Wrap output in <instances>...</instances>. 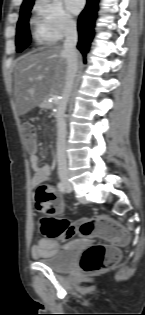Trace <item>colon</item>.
Instances as JSON below:
<instances>
[{
    "label": "colon",
    "instance_id": "5ec220e1",
    "mask_svg": "<svg viewBox=\"0 0 145 315\" xmlns=\"http://www.w3.org/2000/svg\"><path fill=\"white\" fill-rule=\"evenodd\" d=\"M24 143L28 150L36 148V131L30 122L22 125ZM58 196L51 184L45 183L36 192V208L43 215L42 231L47 237H57L68 233H78L88 238H98L114 243H124L127 239L122 227L111 218L101 215L84 218L74 224L56 217ZM119 251L112 246L93 244L82 254L79 266L86 273H95L114 266L119 260Z\"/></svg>",
    "mask_w": 145,
    "mask_h": 315
}]
</instances>
